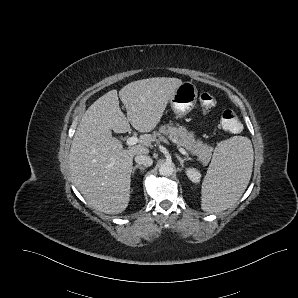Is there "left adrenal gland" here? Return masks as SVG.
Instances as JSON below:
<instances>
[{
	"instance_id": "a2214340",
	"label": "left adrenal gland",
	"mask_w": 298,
	"mask_h": 298,
	"mask_svg": "<svg viewBox=\"0 0 298 298\" xmlns=\"http://www.w3.org/2000/svg\"><path fill=\"white\" fill-rule=\"evenodd\" d=\"M176 158L178 159V161H179V163H180V166H181V168H183V167H184V162H185V161H190V160H191V158H190V157H185V158H182V157H180V155H178V154H176Z\"/></svg>"
}]
</instances>
